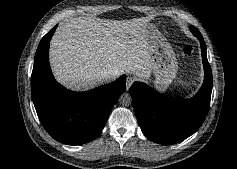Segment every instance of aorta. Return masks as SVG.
<instances>
[{
    "label": "aorta",
    "instance_id": "obj_1",
    "mask_svg": "<svg viewBox=\"0 0 237 169\" xmlns=\"http://www.w3.org/2000/svg\"><path fill=\"white\" fill-rule=\"evenodd\" d=\"M119 103L122 106H129L131 104V97L128 94H124L121 96Z\"/></svg>",
    "mask_w": 237,
    "mask_h": 169
}]
</instances>
